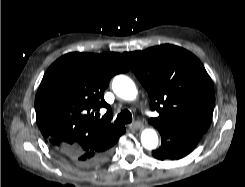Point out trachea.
I'll use <instances>...</instances> for the list:
<instances>
[{"label":"trachea","mask_w":245,"mask_h":187,"mask_svg":"<svg viewBox=\"0 0 245 187\" xmlns=\"http://www.w3.org/2000/svg\"><path fill=\"white\" fill-rule=\"evenodd\" d=\"M133 120L132 114L128 110H123L120 112V114L117 115L115 119L116 124H128L131 123Z\"/></svg>","instance_id":"trachea-1"}]
</instances>
